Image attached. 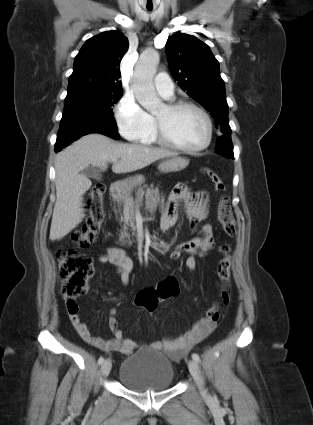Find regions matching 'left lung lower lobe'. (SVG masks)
Listing matches in <instances>:
<instances>
[{
    "instance_id": "obj_1",
    "label": "left lung lower lobe",
    "mask_w": 313,
    "mask_h": 425,
    "mask_svg": "<svg viewBox=\"0 0 313 425\" xmlns=\"http://www.w3.org/2000/svg\"><path fill=\"white\" fill-rule=\"evenodd\" d=\"M227 139H229V140L231 139L229 134H225V135H223L222 137H220V138L217 140V143H219V142H221V141H224V140H227Z\"/></svg>"
}]
</instances>
